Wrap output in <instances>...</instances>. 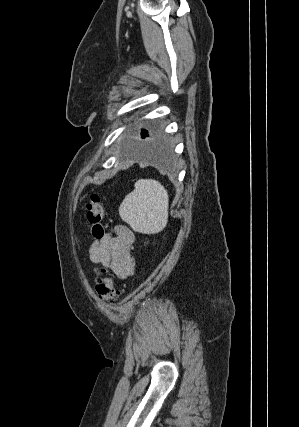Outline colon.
I'll return each instance as SVG.
<instances>
[{
    "instance_id": "obj_1",
    "label": "colon",
    "mask_w": 299,
    "mask_h": 427,
    "mask_svg": "<svg viewBox=\"0 0 299 427\" xmlns=\"http://www.w3.org/2000/svg\"><path fill=\"white\" fill-rule=\"evenodd\" d=\"M104 208L101 198L97 194H91L86 204V221L89 235L94 239H101L104 236ZM106 274L96 283L95 290L98 297L105 301H115L120 296V289L117 288L113 278L107 274V269H103Z\"/></svg>"
}]
</instances>
